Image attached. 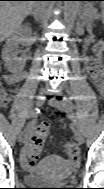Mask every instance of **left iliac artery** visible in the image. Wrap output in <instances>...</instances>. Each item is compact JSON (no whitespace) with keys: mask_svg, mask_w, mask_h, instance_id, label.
I'll return each mask as SVG.
<instances>
[{"mask_svg":"<svg viewBox=\"0 0 104 189\" xmlns=\"http://www.w3.org/2000/svg\"><path fill=\"white\" fill-rule=\"evenodd\" d=\"M63 101H64L68 106H70L71 108L73 107V104L71 103V101L69 100V98L63 97Z\"/></svg>","mask_w":104,"mask_h":189,"instance_id":"1","label":"left iliac artery"}]
</instances>
